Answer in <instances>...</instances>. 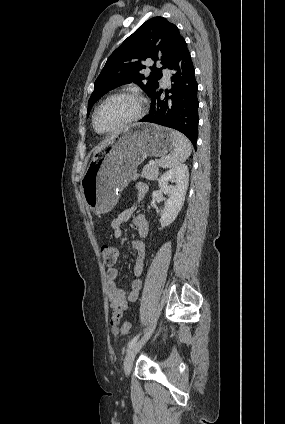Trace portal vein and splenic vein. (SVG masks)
I'll list each match as a JSON object with an SVG mask.
<instances>
[{"instance_id": "18ae733b", "label": "portal vein and splenic vein", "mask_w": 285, "mask_h": 424, "mask_svg": "<svg viewBox=\"0 0 285 424\" xmlns=\"http://www.w3.org/2000/svg\"><path fill=\"white\" fill-rule=\"evenodd\" d=\"M150 163H151V164H154V163H155V161H151Z\"/></svg>"}]
</instances>
